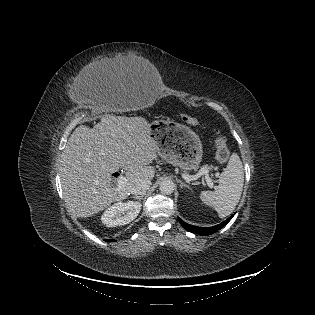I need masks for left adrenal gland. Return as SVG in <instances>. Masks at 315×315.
Masks as SVG:
<instances>
[{
	"mask_svg": "<svg viewBox=\"0 0 315 315\" xmlns=\"http://www.w3.org/2000/svg\"><path fill=\"white\" fill-rule=\"evenodd\" d=\"M177 182L180 183V187H181V188H182V187H187L188 189L192 190V189L190 188V186H189L188 184L184 183L183 181L177 179Z\"/></svg>",
	"mask_w": 315,
	"mask_h": 315,
	"instance_id": "a2214340",
	"label": "left adrenal gland"
}]
</instances>
